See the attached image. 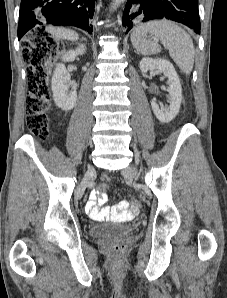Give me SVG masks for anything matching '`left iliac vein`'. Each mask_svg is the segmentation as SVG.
<instances>
[{
    "mask_svg": "<svg viewBox=\"0 0 227 298\" xmlns=\"http://www.w3.org/2000/svg\"><path fill=\"white\" fill-rule=\"evenodd\" d=\"M124 175H134L137 176V170L135 167H129L122 171Z\"/></svg>",
    "mask_w": 227,
    "mask_h": 298,
    "instance_id": "1",
    "label": "left iliac vein"
}]
</instances>
